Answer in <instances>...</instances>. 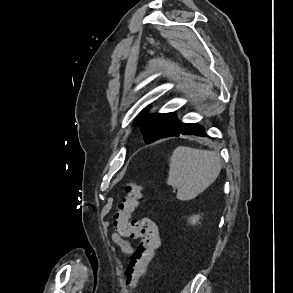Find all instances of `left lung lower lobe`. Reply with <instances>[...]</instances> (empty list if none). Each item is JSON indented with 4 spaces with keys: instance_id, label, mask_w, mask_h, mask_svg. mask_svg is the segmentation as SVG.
<instances>
[{
    "instance_id": "left-lung-lower-lobe-1",
    "label": "left lung lower lobe",
    "mask_w": 293,
    "mask_h": 293,
    "mask_svg": "<svg viewBox=\"0 0 293 293\" xmlns=\"http://www.w3.org/2000/svg\"><path fill=\"white\" fill-rule=\"evenodd\" d=\"M183 135H206L204 128L198 124L179 122L174 129L167 133L164 137Z\"/></svg>"
}]
</instances>
